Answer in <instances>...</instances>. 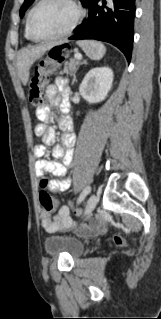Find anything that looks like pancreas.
Listing matches in <instances>:
<instances>
[{
  "instance_id": "pancreas-1",
  "label": "pancreas",
  "mask_w": 161,
  "mask_h": 319,
  "mask_svg": "<svg viewBox=\"0 0 161 319\" xmlns=\"http://www.w3.org/2000/svg\"><path fill=\"white\" fill-rule=\"evenodd\" d=\"M80 62L77 59H70L64 66L63 73L67 75H75L77 71V67H79Z\"/></svg>"
}]
</instances>
